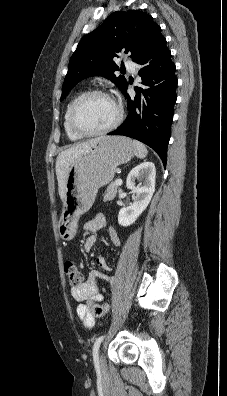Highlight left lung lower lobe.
Listing matches in <instances>:
<instances>
[{"instance_id": "obj_1", "label": "left lung lower lobe", "mask_w": 227, "mask_h": 396, "mask_svg": "<svg viewBox=\"0 0 227 396\" xmlns=\"http://www.w3.org/2000/svg\"><path fill=\"white\" fill-rule=\"evenodd\" d=\"M134 62L141 65L138 73L143 87H135L136 95L130 97L126 92L127 83L122 93L127 100L128 116L123 124L108 135H124L145 143L166 166L178 83L166 39L160 37Z\"/></svg>"}]
</instances>
